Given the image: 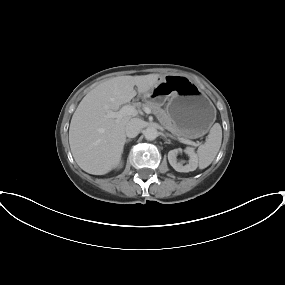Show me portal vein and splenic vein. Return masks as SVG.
Here are the masks:
<instances>
[{"mask_svg": "<svg viewBox=\"0 0 285 285\" xmlns=\"http://www.w3.org/2000/svg\"><path fill=\"white\" fill-rule=\"evenodd\" d=\"M145 113L147 114H151V109L149 108H145L144 109ZM125 115H133V116H136L137 115V110L134 106H131V105H124L119 111L117 112H113V111H108L107 112V117L108 118H117V119H120L122 118L123 116ZM178 140L184 144H187V145H192V146H197V143L191 141V140H188V139H185V138H180L178 137Z\"/></svg>", "mask_w": 285, "mask_h": 285, "instance_id": "obj_1", "label": "portal vein and splenic vein"}]
</instances>
